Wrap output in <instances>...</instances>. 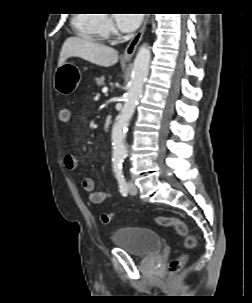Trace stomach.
<instances>
[{"mask_svg": "<svg viewBox=\"0 0 252 303\" xmlns=\"http://www.w3.org/2000/svg\"><path fill=\"white\" fill-rule=\"evenodd\" d=\"M82 74L78 67L64 63L57 67L54 77V87L62 95L73 93L81 82Z\"/></svg>", "mask_w": 252, "mask_h": 303, "instance_id": "0dacf381", "label": "stomach"}]
</instances>
